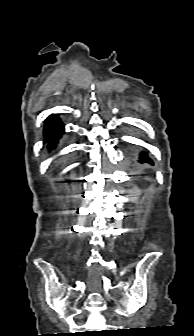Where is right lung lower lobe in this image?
I'll list each match as a JSON object with an SVG mask.
<instances>
[{
	"label": "right lung lower lobe",
	"mask_w": 194,
	"mask_h": 336,
	"mask_svg": "<svg viewBox=\"0 0 194 336\" xmlns=\"http://www.w3.org/2000/svg\"><path fill=\"white\" fill-rule=\"evenodd\" d=\"M43 134L49 143L48 148L57 144L58 139L64 134V125L57 115H51L46 119Z\"/></svg>",
	"instance_id": "1"
}]
</instances>
